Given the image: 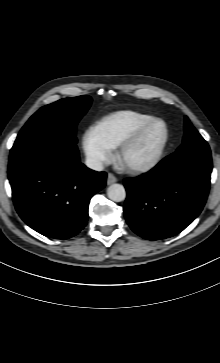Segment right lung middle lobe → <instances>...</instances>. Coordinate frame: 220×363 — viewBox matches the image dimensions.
Returning <instances> with one entry per match:
<instances>
[{"instance_id":"dd1d6c3e","label":"right lung middle lobe","mask_w":220,"mask_h":363,"mask_svg":"<svg viewBox=\"0 0 220 363\" xmlns=\"http://www.w3.org/2000/svg\"><path fill=\"white\" fill-rule=\"evenodd\" d=\"M90 104L91 98L84 95L64 98L43 106L21 129L11 153H15L23 146L45 137L64 136L65 133L74 136L76 124L86 113ZM70 140L76 144L75 138Z\"/></svg>"}]
</instances>
